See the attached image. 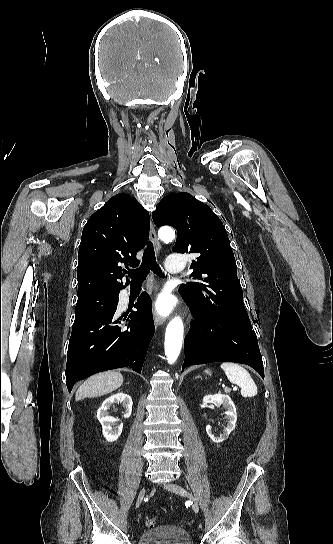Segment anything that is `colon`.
<instances>
[{
	"label": "colon",
	"instance_id": "5ec220e1",
	"mask_svg": "<svg viewBox=\"0 0 333 544\" xmlns=\"http://www.w3.org/2000/svg\"><path fill=\"white\" fill-rule=\"evenodd\" d=\"M158 525V519L157 518H148L145 521V526L147 528H155Z\"/></svg>",
	"mask_w": 333,
	"mask_h": 544
}]
</instances>
